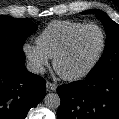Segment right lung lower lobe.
<instances>
[{
  "label": "right lung lower lobe",
  "mask_w": 119,
  "mask_h": 119,
  "mask_svg": "<svg viewBox=\"0 0 119 119\" xmlns=\"http://www.w3.org/2000/svg\"><path fill=\"white\" fill-rule=\"evenodd\" d=\"M24 64L25 60L0 59V119H25L45 96V80Z\"/></svg>",
  "instance_id": "98d812e1"
}]
</instances>
